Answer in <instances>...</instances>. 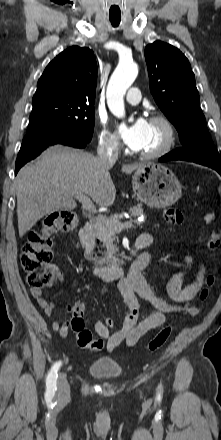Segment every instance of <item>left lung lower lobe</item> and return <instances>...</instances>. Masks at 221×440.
Segmentation results:
<instances>
[{
  "label": "left lung lower lobe",
  "instance_id": "0a47b994",
  "mask_svg": "<svg viewBox=\"0 0 221 440\" xmlns=\"http://www.w3.org/2000/svg\"><path fill=\"white\" fill-rule=\"evenodd\" d=\"M171 160H183V159L180 156L174 154L173 152H170L159 159V161L161 162L171 161ZM211 168L215 169L221 175V167L214 166Z\"/></svg>",
  "mask_w": 221,
  "mask_h": 440
}]
</instances>
